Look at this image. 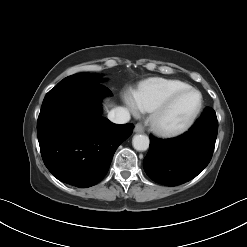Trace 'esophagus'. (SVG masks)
Returning a JSON list of instances; mask_svg holds the SVG:
<instances>
[{
	"instance_id": "1",
	"label": "esophagus",
	"mask_w": 247,
	"mask_h": 247,
	"mask_svg": "<svg viewBox=\"0 0 247 247\" xmlns=\"http://www.w3.org/2000/svg\"><path fill=\"white\" fill-rule=\"evenodd\" d=\"M134 131L136 133H143L144 132V126L141 123H137L135 125Z\"/></svg>"
}]
</instances>
